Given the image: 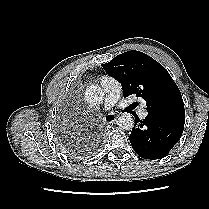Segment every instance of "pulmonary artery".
<instances>
[{
    "mask_svg": "<svg viewBox=\"0 0 209 209\" xmlns=\"http://www.w3.org/2000/svg\"><path fill=\"white\" fill-rule=\"evenodd\" d=\"M100 85L105 92L104 109H110L116 103L120 96V84L113 77L103 76L100 78ZM147 114V110L142 107L139 111L140 117L145 118Z\"/></svg>",
    "mask_w": 209,
    "mask_h": 209,
    "instance_id": "e3ab8cb5",
    "label": "pulmonary artery"
}]
</instances>
